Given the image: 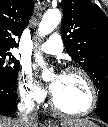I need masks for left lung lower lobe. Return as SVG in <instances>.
Here are the masks:
<instances>
[{"label": "left lung lower lobe", "instance_id": "obj_1", "mask_svg": "<svg viewBox=\"0 0 108 127\" xmlns=\"http://www.w3.org/2000/svg\"><path fill=\"white\" fill-rule=\"evenodd\" d=\"M96 114L102 118L106 123H108V108L104 106H98Z\"/></svg>", "mask_w": 108, "mask_h": 127}]
</instances>
